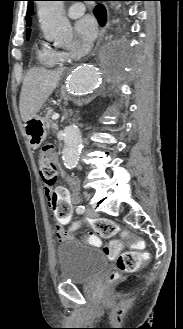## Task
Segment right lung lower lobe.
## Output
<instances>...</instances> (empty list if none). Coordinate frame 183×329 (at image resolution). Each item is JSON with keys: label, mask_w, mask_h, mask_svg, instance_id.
Masks as SVG:
<instances>
[{"label": "right lung lower lobe", "mask_w": 183, "mask_h": 329, "mask_svg": "<svg viewBox=\"0 0 183 329\" xmlns=\"http://www.w3.org/2000/svg\"><path fill=\"white\" fill-rule=\"evenodd\" d=\"M94 1H102V0H94ZM94 14L96 18L98 19L99 23L101 25H104L106 22V9L103 5H97V7L94 9Z\"/></svg>", "instance_id": "obj_1"}]
</instances>
